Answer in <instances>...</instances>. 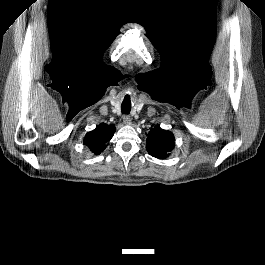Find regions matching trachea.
<instances>
[{
	"label": "trachea",
	"instance_id": "1",
	"mask_svg": "<svg viewBox=\"0 0 265 265\" xmlns=\"http://www.w3.org/2000/svg\"><path fill=\"white\" fill-rule=\"evenodd\" d=\"M122 114L128 115L131 111L130 101L124 100L121 105Z\"/></svg>",
	"mask_w": 265,
	"mask_h": 265
}]
</instances>
